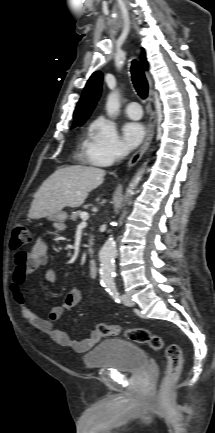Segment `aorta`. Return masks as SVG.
Masks as SVG:
<instances>
[{"label": "aorta", "mask_w": 215, "mask_h": 433, "mask_svg": "<svg viewBox=\"0 0 215 433\" xmlns=\"http://www.w3.org/2000/svg\"><path fill=\"white\" fill-rule=\"evenodd\" d=\"M119 109H120L119 95L117 92H112L108 95L107 102H106L107 115L109 117H114L118 113ZM144 171H145L144 168L139 170L138 173L130 182L124 197L125 201L128 200L129 196L133 193V190L140 182ZM116 252L117 250H116V243L114 237L110 235L99 252V259L101 263V268H100L101 284L108 288L114 287V275H115L114 259L116 256Z\"/></svg>", "instance_id": "1"}]
</instances>
